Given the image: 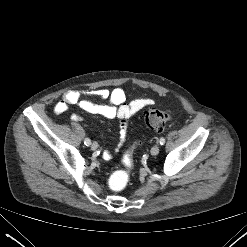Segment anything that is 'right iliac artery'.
Here are the masks:
<instances>
[{"label": "right iliac artery", "mask_w": 247, "mask_h": 247, "mask_svg": "<svg viewBox=\"0 0 247 247\" xmlns=\"http://www.w3.org/2000/svg\"><path fill=\"white\" fill-rule=\"evenodd\" d=\"M84 144L86 146H89L91 144V140L89 138H86L85 141H84Z\"/></svg>", "instance_id": "82829eb1"}]
</instances>
